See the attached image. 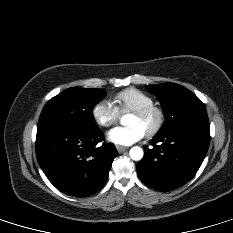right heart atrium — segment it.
I'll use <instances>...</instances> for the list:
<instances>
[{
  "instance_id": "d8ad5b80",
  "label": "right heart atrium",
  "mask_w": 233,
  "mask_h": 233,
  "mask_svg": "<svg viewBox=\"0 0 233 233\" xmlns=\"http://www.w3.org/2000/svg\"><path fill=\"white\" fill-rule=\"evenodd\" d=\"M92 117L99 126L109 127L117 122L119 111L112 102L100 100L92 108Z\"/></svg>"
}]
</instances>
